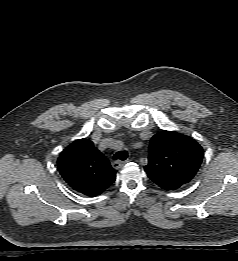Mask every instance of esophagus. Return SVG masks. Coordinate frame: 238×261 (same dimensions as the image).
<instances>
[{
	"mask_svg": "<svg viewBox=\"0 0 238 261\" xmlns=\"http://www.w3.org/2000/svg\"><path fill=\"white\" fill-rule=\"evenodd\" d=\"M126 162H129V159L126 161L117 160L112 163V167L114 169H120Z\"/></svg>",
	"mask_w": 238,
	"mask_h": 261,
	"instance_id": "34e87169",
	"label": "esophagus"
}]
</instances>
